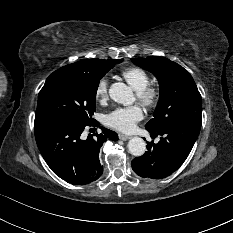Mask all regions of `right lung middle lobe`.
<instances>
[{
  "instance_id": "right-lung-middle-lobe-1",
  "label": "right lung middle lobe",
  "mask_w": 233,
  "mask_h": 233,
  "mask_svg": "<svg viewBox=\"0 0 233 233\" xmlns=\"http://www.w3.org/2000/svg\"><path fill=\"white\" fill-rule=\"evenodd\" d=\"M123 59L102 60L92 70L64 66L53 72L38 95L35 119L91 123L100 79Z\"/></svg>"
}]
</instances>
